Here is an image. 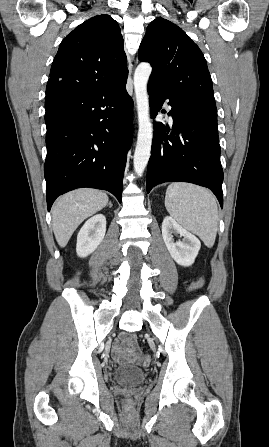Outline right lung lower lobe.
<instances>
[{
  "instance_id": "right-lung-lower-lobe-1",
  "label": "right lung lower lobe",
  "mask_w": 269,
  "mask_h": 447,
  "mask_svg": "<svg viewBox=\"0 0 269 447\" xmlns=\"http://www.w3.org/2000/svg\"><path fill=\"white\" fill-rule=\"evenodd\" d=\"M127 76L92 90L46 96L48 210L70 190L92 187L121 203L122 180L133 134Z\"/></svg>"
}]
</instances>
